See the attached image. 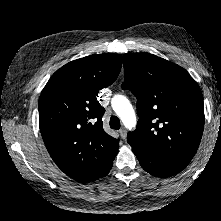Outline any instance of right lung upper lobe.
I'll use <instances>...</instances> for the list:
<instances>
[{
    "mask_svg": "<svg viewBox=\"0 0 221 221\" xmlns=\"http://www.w3.org/2000/svg\"><path fill=\"white\" fill-rule=\"evenodd\" d=\"M122 56L106 53L71 61L47 82L39 99V126L56 165L79 182L107 175L119 140L102 126L98 91L119 75Z\"/></svg>",
    "mask_w": 221,
    "mask_h": 221,
    "instance_id": "cb5924a9",
    "label": "right lung upper lobe"
}]
</instances>
